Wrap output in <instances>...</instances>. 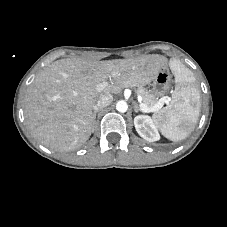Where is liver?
<instances>
[{
    "instance_id": "liver-1",
    "label": "liver",
    "mask_w": 227,
    "mask_h": 227,
    "mask_svg": "<svg viewBox=\"0 0 227 227\" xmlns=\"http://www.w3.org/2000/svg\"><path fill=\"white\" fill-rule=\"evenodd\" d=\"M167 63V58L160 55L106 61L76 57L57 60L25 92L23 108L27 128L52 150H76L92 133L93 106L103 95L147 85ZM111 78L113 85L107 82ZM100 83H106V87L97 92Z\"/></svg>"
}]
</instances>
